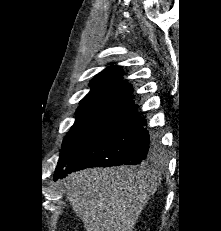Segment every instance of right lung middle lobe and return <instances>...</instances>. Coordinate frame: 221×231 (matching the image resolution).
<instances>
[{
    "instance_id": "dd1d6c3e",
    "label": "right lung middle lobe",
    "mask_w": 221,
    "mask_h": 231,
    "mask_svg": "<svg viewBox=\"0 0 221 231\" xmlns=\"http://www.w3.org/2000/svg\"><path fill=\"white\" fill-rule=\"evenodd\" d=\"M77 109L76 121L63 141L56 169L63 168L86 148L104 126L132 102L116 98H96L82 101Z\"/></svg>"
}]
</instances>
